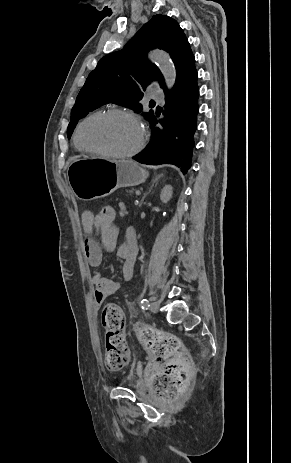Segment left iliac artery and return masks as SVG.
Listing matches in <instances>:
<instances>
[{"label":"left iliac artery","mask_w":291,"mask_h":463,"mask_svg":"<svg viewBox=\"0 0 291 463\" xmlns=\"http://www.w3.org/2000/svg\"><path fill=\"white\" fill-rule=\"evenodd\" d=\"M140 303H141V308L143 310H147L149 308V306H150L149 301L146 298L142 299Z\"/></svg>","instance_id":"left-iliac-artery-1"}]
</instances>
